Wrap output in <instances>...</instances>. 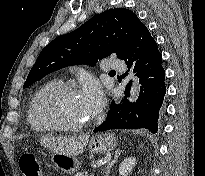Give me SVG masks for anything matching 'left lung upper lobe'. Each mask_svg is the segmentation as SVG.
<instances>
[{"instance_id": "left-lung-upper-lobe-1", "label": "left lung upper lobe", "mask_w": 205, "mask_h": 176, "mask_svg": "<svg viewBox=\"0 0 205 176\" xmlns=\"http://www.w3.org/2000/svg\"><path fill=\"white\" fill-rule=\"evenodd\" d=\"M141 26L137 15L125 8L93 16L78 29L56 37L43 48L23 87L67 66H94L112 53L121 59Z\"/></svg>"}]
</instances>
